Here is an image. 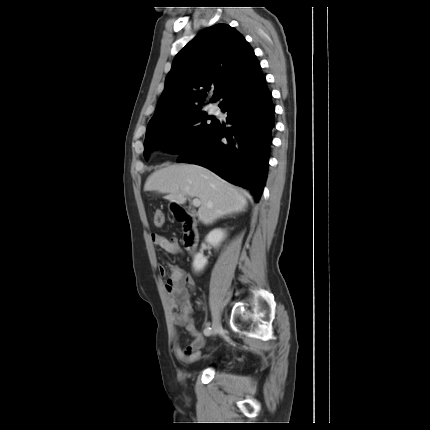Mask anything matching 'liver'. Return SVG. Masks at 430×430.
<instances>
[{
  "instance_id": "6515ba94",
  "label": "liver",
  "mask_w": 430,
  "mask_h": 430,
  "mask_svg": "<svg viewBox=\"0 0 430 430\" xmlns=\"http://www.w3.org/2000/svg\"><path fill=\"white\" fill-rule=\"evenodd\" d=\"M144 190L167 194L164 198L177 204H184L187 196L198 198V219L205 225L242 212L247 206V193L199 165H168L159 169L148 177Z\"/></svg>"
}]
</instances>
